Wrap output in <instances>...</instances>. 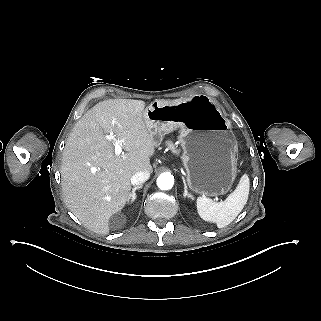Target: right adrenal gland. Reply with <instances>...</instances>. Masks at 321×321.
Segmentation results:
<instances>
[{
  "mask_svg": "<svg viewBox=\"0 0 321 321\" xmlns=\"http://www.w3.org/2000/svg\"><path fill=\"white\" fill-rule=\"evenodd\" d=\"M143 187V185H140V186H135L133 189H132V192L129 194V197L127 198V203L129 204H132L135 199H136V190L138 189H141Z\"/></svg>",
  "mask_w": 321,
  "mask_h": 321,
  "instance_id": "right-adrenal-gland-1",
  "label": "right adrenal gland"
}]
</instances>
